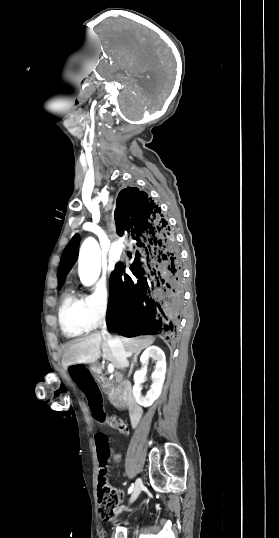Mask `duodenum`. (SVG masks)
Returning <instances> with one entry per match:
<instances>
[{
  "mask_svg": "<svg viewBox=\"0 0 279 538\" xmlns=\"http://www.w3.org/2000/svg\"><path fill=\"white\" fill-rule=\"evenodd\" d=\"M92 370H94L95 373L97 374H100L102 372V369L100 368V365L98 364L92 365ZM101 376H103L102 377L103 383L109 382L108 376H104V373H101ZM113 386H116L114 387V390L126 391L127 400H131L130 405L132 406V408L131 406H128V409H130L129 410L130 414H128V417L131 418L130 419L131 424H127V427H131L132 429L139 427V423L142 422L141 418H143V413H140L141 406L138 404V401L134 400V395H132L133 391L130 389V382L117 381L116 383H113Z\"/></svg>",
  "mask_w": 279,
  "mask_h": 538,
  "instance_id": "1",
  "label": "duodenum"
}]
</instances>
